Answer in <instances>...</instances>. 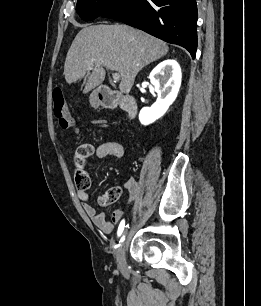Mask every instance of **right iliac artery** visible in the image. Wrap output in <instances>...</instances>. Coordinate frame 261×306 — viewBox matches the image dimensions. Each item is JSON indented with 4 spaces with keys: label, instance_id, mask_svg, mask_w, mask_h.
Returning a JSON list of instances; mask_svg holds the SVG:
<instances>
[{
    "label": "right iliac artery",
    "instance_id": "right-iliac-artery-1",
    "mask_svg": "<svg viewBox=\"0 0 261 306\" xmlns=\"http://www.w3.org/2000/svg\"><path fill=\"white\" fill-rule=\"evenodd\" d=\"M125 227H128V225L125 226V220L123 219V220L120 222L119 227H118V230H117V236H118V237H120V236L122 235V233H123ZM123 241H124V238L122 237V238L120 239V241H119V243H120L119 246H121V244H122Z\"/></svg>",
    "mask_w": 261,
    "mask_h": 306
}]
</instances>
